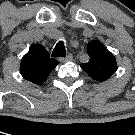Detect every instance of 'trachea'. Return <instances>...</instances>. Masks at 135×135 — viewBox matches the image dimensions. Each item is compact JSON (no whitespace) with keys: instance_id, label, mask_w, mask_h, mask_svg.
Returning a JSON list of instances; mask_svg holds the SVG:
<instances>
[{"instance_id":"obj_1","label":"trachea","mask_w":135,"mask_h":135,"mask_svg":"<svg viewBox=\"0 0 135 135\" xmlns=\"http://www.w3.org/2000/svg\"><path fill=\"white\" fill-rule=\"evenodd\" d=\"M65 56H66L65 45H64L63 41H60L55 46V48L52 52V57H65Z\"/></svg>"}]
</instances>
